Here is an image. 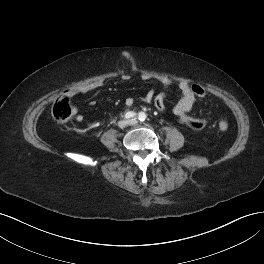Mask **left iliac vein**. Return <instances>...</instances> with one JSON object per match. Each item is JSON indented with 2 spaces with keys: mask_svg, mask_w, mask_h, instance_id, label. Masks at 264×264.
Listing matches in <instances>:
<instances>
[{
  "mask_svg": "<svg viewBox=\"0 0 264 264\" xmlns=\"http://www.w3.org/2000/svg\"><path fill=\"white\" fill-rule=\"evenodd\" d=\"M129 124L130 125H135V124H137V120L132 119V120L129 121Z\"/></svg>",
  "mask_w": 264,
  "mask_h": 264,
  "instance_id": "1",
  "label": "left iliac vein"
}]
</instances>
